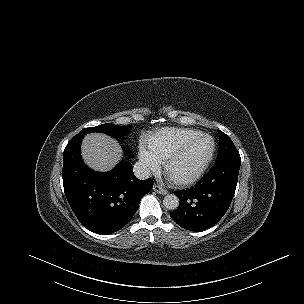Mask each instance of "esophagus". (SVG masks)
Wrapping results in <instances>:
<instances>
[{
  "label": "esophagus",
  "mask_w": 304,
  "mask_h": 304,
  "mask_svg": "<svg viewBox=\"0 0 304 304\" xmlns=\"http://www.w3.org/2000/svg\"><path fill=\"white\" fill-rule=\"evenodd\" d=\"M153 190L161 195H166L168 193V190L164 189L163 187H161L158 184H154Z\"/></svg>",
  "instance_id": "34e87169"
}]
</instances>
